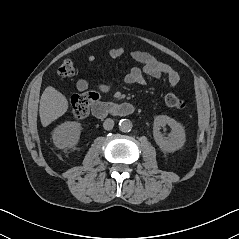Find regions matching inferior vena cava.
Returning <instances> with one entry per match:
<instances>
[{
    "label": "inferior vena cava",
    "instance_id": "inferior-vena-cava-1",
    "mask_svg": "<svg viewBox=\"0 0 239 239\" xmlns=\"http://www.w3.org/2000/svg\"><path fill=\"white\" fill-rule=\"evenodd\" d=\"M103 127L105 130H111L114 127V121L111 118H107L103 123Z\"/></svg>",
    "mask_w": 239,
    "mask_h": 239
}]
</instances>
